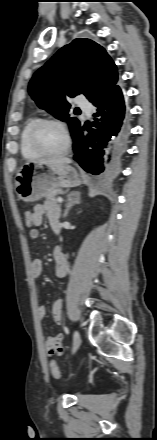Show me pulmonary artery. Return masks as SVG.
<instances>
[{
	"instance_id": "e3ab8cb5",
	"label": "pulmonary artery",
	"mask_w": 157,
	"mask_h": 440,
	"mask_svg": "<svg viewBox=\"0 0 157 440\" xmlns=\"http://www.w3.org/2000/svg\"><path fill=\"white\" fill-rule=\"evenodd\" d=\"M77 104L84 109L88 114L91 112L92 110V106L91 104L86 100L85 97L83 96H79L77 99Z\"/></svg>"
}]
</instances>
